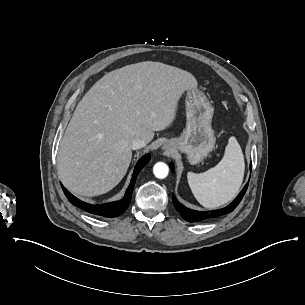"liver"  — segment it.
Here are the masks:
<instances>
[{
	"label": "liver",
	"instance_id": "obj_1",
	"mask_svg": "<svg viewBox=\"0 0 305 305\" xmlns=\"http://www.w3.org/2000/svg\"><path fill=\"white\" fill-rule=\"evenodd\" d=\"M195 78L161 63L143 62L107 74L83 97L60 140L58 175L75 194L97 196L125 176L130 143L175 123L179 102Z\"/></svg>",
	"mask_w": 305,
	"mask_h": 305
}]
</instances>
